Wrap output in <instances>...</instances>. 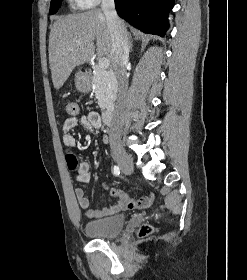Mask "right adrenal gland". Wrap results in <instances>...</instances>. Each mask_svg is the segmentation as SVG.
<instances>
[{
  "mask_svg": "<svg viewBox=\"0 0 247 280\" xmlns=\"http://www.w3.org/2000/svg\"><path fill=\"white\" fill-rule=\"evenodd\" d=\"M129 50L132 51V42L129 41Z\"/></svg>",
  "mask_w": 247,
  "mask_h": 280,
  "instance_id": "2a0ac1e0",
  "label": "right adrenal gland"
}]
</instances>
